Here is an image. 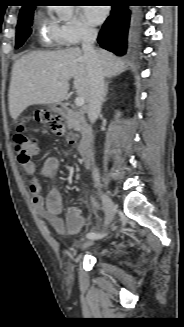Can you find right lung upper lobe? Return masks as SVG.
Listing matches in <instances>:
<instances>
[{
  "mask_svg": "<svg viewBox=\"0 0 184 327\" xmlns=\"http://www.w3.org/2000/svg\"><path fill=\"white\" fill-rule=\"evenodd\" d=\"M24 3H26L25 5L22 6L20 12L22 11H26L30 8H34V6H32L30 3H31V0H24Z\"/></svg>",
  "mask_w": 184,
  "mask_h": 327,
  "instance_id": "right-lung-upper-lobe-1",
  "label": "right lung upper lobe"
}]
</instances>
